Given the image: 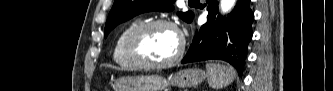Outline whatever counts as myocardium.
<instances>
[{
  "label": "myocardium",
  "mask_w": 333,
  "mask_h": 91,
  "mask_svg": "<svg viewBox=\"0 0 333 91\" xmlns=\"http://www.w3.org/2000/svg\"><path fill=\"white\" fill-rule=\"evenodd\" d=\"M158 27H169L173 29L180 38V47L173 58L163 62H151L141 52V39L150 30ZM185 52V39L177 25L166 19L145 21L138 24L128 35L126 40V53L130 60L144 69H163L178 63Z\"/></svg>",
  "instance_id": "obj_1"
}]
</instances>
